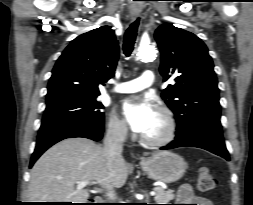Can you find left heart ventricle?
<instances>
[{
  "label": "left heart ventricle",
  "mask_w": 253,
  "mask_h": 205,
  "mask_svg": "<svg viewBox=\"0 0 253 205\" xmlns=\"http://www.w3.org/2000/svg\"><path fill=\"white\" fill-rule=\"evenodd\" d=\"M165 131V123L162 116L156 112V115L149 128L142 134L145 137L156 138L161 136Z\"/></svg>",
  "instance_id": "left-heart-ventricle-1"
}]
</instances>
